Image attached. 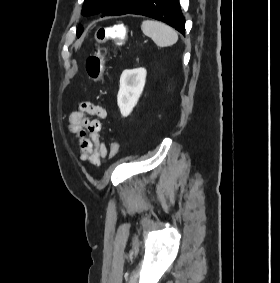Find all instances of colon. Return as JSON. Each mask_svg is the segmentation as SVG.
Wrapping results in <instances>:
<instances>
[{"mask_svg":"<svg viewBox=\"0 0 280 283\" xmlns=\"http://www.w3.org/2000/svg\"><path fill=\"white\" fill-rule=\"evenodd\" d=\"M126 29L121 25L101 26L96 31L95 44L92 53L86 60V71L95 82H102L104 77L105 61L101 54V44L107 40L113 42H126ZM119 151V145L115 143L111 156L115 157Z\"/></svg>","mask_w":280,"mask_h":283,"instance_id":"colon-1","label":"colon"}]
</instances>
